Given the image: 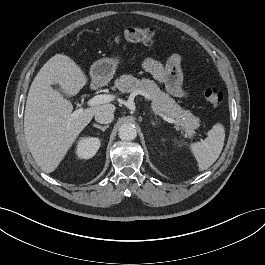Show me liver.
Masks as SVG:
<instances>
[{
    "instance_id": "obj_1",
    "label": "liver",
    "mask_w": 265,
    "mask_h": 265,
    "mask_svg": "<svg viewBox=\"0 0 265 265\" xmlns=\"http://www.w3.org/2000/svg\"><path fill=\"white\" fill-rule=\"evenodd\" d=\"M81 67L67 55L56 54L40 69L27 96L24 133L27 146L45 173L53 172L65 157L81 131L100 110H115L113 104H99L82 109L78 115L73 105L52 85H59L74 96L86 85Z\"/></svg>"
}]
</instances>
